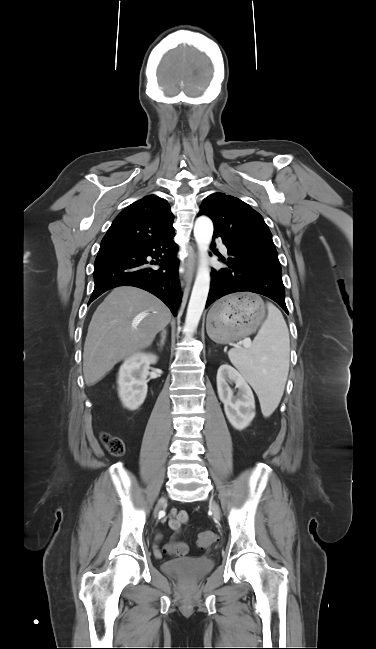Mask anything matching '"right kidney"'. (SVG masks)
Here are the masks:
<instances>
[{"label": "right kidney", "instance_id": "1", "mask_svg": "<svg viewBox=\"0 0 376 649\" xmlns=\"http://www.w3.org/2000/svg\"><path fill=\"white\" fill-rule=\"evenodd\" d=\"M157 362V356L136 353L126 359L119 369L117 378L118 393L124 407L138 409L147 395V375L150 364Z\"/></svg>", "mask_w": 376, "mask_h": 649}]
</instances>
